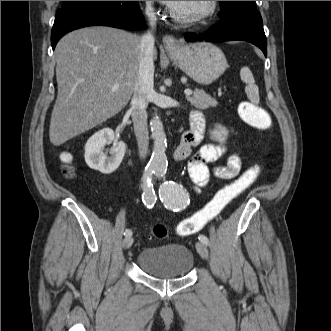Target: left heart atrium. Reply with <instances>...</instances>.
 <instances>
[{
	"label": "left heart atrium",
	"instance_id": "1",
	"mask_svg": "<svg viewBox=\"0 0 331 331\" xmlns=\"http://www.w3.org/2000/svg\"><path fill=\"white\" fill-rule=\"evenodd\" d=\"M161 2L167 4V5L171 6V7L174 6L177 3V1H161Z\"/></svg>",
	"mask_w": 331,
	"mask_h": 331
}]
</instances>
